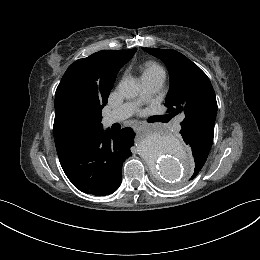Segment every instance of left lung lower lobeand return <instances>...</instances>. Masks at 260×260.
I'll use <instances>...</instances> for the list:
<instances>
[{"label": "left lung lower lobe", "instance_id": "obj_1", "mask_svg": "<svg viewBox=\"0 0 260 260\" xmlns=\"http://www.w3.org/2000/svg\"><path fill=\"white\" fill-rule=\"evenodd\" d=\"M183 140L186 144L190 145L192 148V153L195 159L199 158H207L211 146L202 141L199 137L196 135L190 133L189 131L181 130L180 131ZM199 172L194 169V173L190 180L194 179Z\"/></svg>", "mask_w": 260, "mask_h": 260}]
</instances>
